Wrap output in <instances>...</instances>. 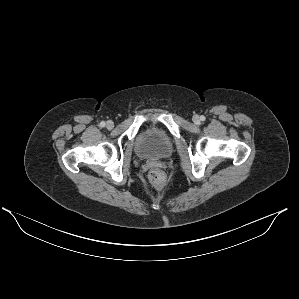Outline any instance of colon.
<instances>
[{"label":"colon","mask_w":299,"mask_h":299,"mask_svg":"<svg viewBox=\"0 0 299 299\" xmlns=\"http://www.w3.org/2000/svg\"><path fill=\"white\" fill-rule=\"evenodd\" d=\"M148 178L151 184L157 189H161L166 182L165 175L158 169L151 170L149 172Z\"/></svg>","instance_id":"5ec220e1"}]
</instances>
